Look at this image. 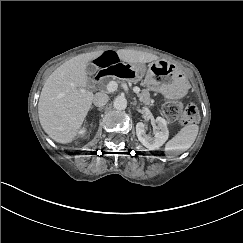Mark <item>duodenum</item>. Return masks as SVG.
Instances as JSON below:
<instances>
[{"mask_svg":"<svg viewBox=\"0 0 243 243\" xmlns=\"http://www.w3.org/2000/svg\"><path fill=\"white\" fill-rule=\"evenodd\" d=\"M136 73H137V69L134 65L123 63V64L112 66L108 69L101 70L96 75L95 79L97 81L106 77H112L116 79H130L135 77Z\"/></svg>","mask_w":243,"mask_h":243,"instance_id":"410a0bca","label":"duodenum"}]
</instances>
